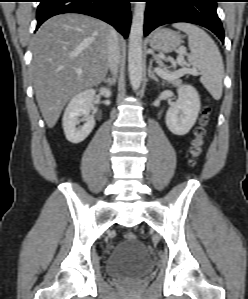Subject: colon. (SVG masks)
I'll return each mask as SVG.
<instances>
[{
  "instance_id": "5ec220e1",
  "label": "colon",
  "mask_w": 248,
  "mask_h": 299,
  "mask_svg": "<svg viewBox=\"0 0 248 299\" xmlns=\"http://www.w3.org/2000/svg\"><path fill=\"white\" fill-rule=\"evenodd\" d=\"M210 113L211 108L208 104H206L202 111L199 126L195 130V139L193 140L191 146V154L195 158L199 157L203 152L206 127L209 123ZM124 239L127 241H135L137 239V235L134 232H126L124 234Z\"/></svg>"
}]
</instances>
